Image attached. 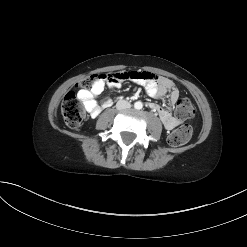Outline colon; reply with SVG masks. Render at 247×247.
<instances>
[{"mask_svg": "<svg viewBox=\"0 0 247 247\" xmlns=\"http://www.w3.org/2000/svg\"><path fill=\"white\" fill-rule=\"evenodd\" d=\"M107 75L93 74L85 78L79 83V87L85 90L91 89L100 79ZM128 79V78H127ZM137 79V78H136ZM62 115L66 125L71 129L79 128L86 119V109L82 101L77 98L75 93L69 92L62 102ZM177 118L181 120L190 119L195 115V109L187 98L178 100L175 108ZM192 134V130L188 125H182L168 136V143L171 146H181L188 142Z\"/></svg>", "mask_w": 247, "mask_h": 247, "instance_id": "obj_1", "label": "colon"}]
</instances>
